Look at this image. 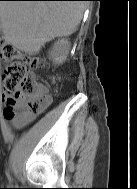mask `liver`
<instances>
[{"mask_svg": "<svg viewBox=\"0 0 137 189\" xmlns=\"http://www.w3.org/2000/svg\"><path fill=\"white\" fill-rule=\"evenodd\" d=\"M84 7L81 1L0 2V29L8 43L34 49L55 35L73 32Z\"/></svg>", "mask_w": 137, "mask_h": 189, "instance_id": "1", "label": "liver"}]
</instances>
